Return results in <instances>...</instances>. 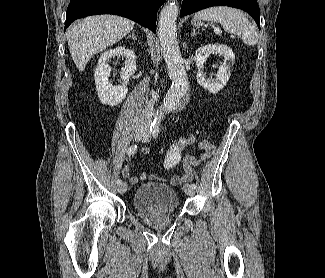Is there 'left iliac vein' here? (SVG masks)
Wrapping results in <instances>:
<instances>
[{
	"label": "left iliac vein",
	"instance_id": "4c4485c4",
	"mask_svg": "<svg viewBox=\"0 0 325 278\" xmlns=\"http://www.w3.org/2000/svg\"><path fill=\"white\" fill-rule=\"evenodd\" d=\"M150 138H151L150 131L146 130L145 134L141 138V141L146 143V142H149ZM184 192L189 196H193L195 194V189H193L190 185L185 184L184 185Z\"/></svg>",
	"mask_w": 325,
	"mask_h": 278
}]
</instances>
